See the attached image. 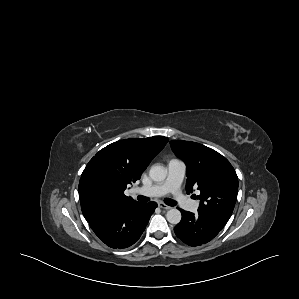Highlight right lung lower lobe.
<instances>
[{"label":"right lung lower lobe","mask_w":299,"mask_h":299,"mask_svg":"<svg viewBox=\"0 0 299 299\" xmlns=\"http://www.w3.org/2000/svg\"><path fill=\"white\" fill-rule=\"evenodd\" d=\"M157 204L129 202L109 211L93 212L85 217L94 233L111 248H126L142 235Z\"/></svg>","instance_id":"1"}]
</instances>
